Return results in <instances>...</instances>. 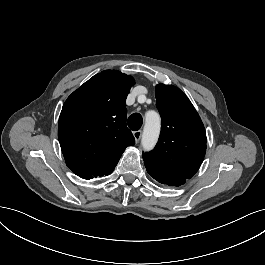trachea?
<instances>
[{
  "instance_id": "trachea-1",
  "label": "trachea",
  "mask_w": 265,
  "mask_h": 265,
  "mask_svg": "<svg viewBox=\"0 0 265 265\" xmlns=\"http://www.w3.org/2000/svg\"><path fill=\"white\" fill-rule=\"evenodd\" d=\"M143 124L142 116L139 113H133L128 118V126L131 130L137 131Z\"/></svg>"
}]
</instances>
